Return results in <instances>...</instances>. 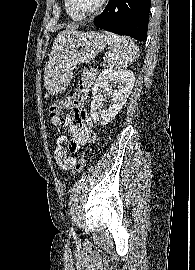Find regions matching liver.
<instances>
[{"label":"liver","instance_id":"6515ba94","mask_svg":"<svg viewBox=\"0 0 195 270\" xmlns=\"http://www.w3.org/2000/svg\"><path fill=\"white\" fill-rule=\"evenodd\" d=\"M73 32H75V28L66 29V30H64V31H62L61 33L58 34V36H57V37L55 38V40H54V43H53V46H52V51H51V53H50V55H49L50 60L54 57V54H55L56 49H57V45H58L57 43H58V41H59L63 36L69 35V34H71V33H73Z\"/></svg>","mask_w":195,"mask_h":270}]
</instances>
